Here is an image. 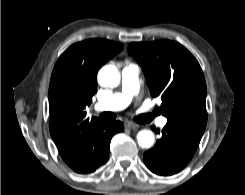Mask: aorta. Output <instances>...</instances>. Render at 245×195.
<instances>
[{"label": "aorta", "mask_w": 245, "mask_h": 195, "mask_svg": "<svg viewBox=\"0 0 245 195\" xmlns=\"http://www.w3.org/2000/svg\"><path fill=\"white\" fill-rule=\"evenodd\" d=\"M120 73L113 65L102 67L98 73V82L103 87H117L120 83ZM155 137L150 130H141L137 134V142L142 148H150L154 143Z\"/></svg>", "instance_id": "762f6f07"}]
</instances>
